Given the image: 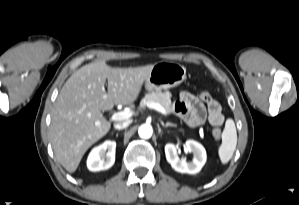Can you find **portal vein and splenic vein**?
<instances>
[{
  "label": "portal vein and splenic vein",
  "mask_w": 299,
  "mask_h": 205,
  "mask_svg": "<svg viewBox=\"0 0 299 205\" xmlns=\"http://www.w3.org/2000/svg\"><path fill=\"white\" fill-rule=\"evenodd\" d=\"M149 108L155 109L158 112L162 113L163 115H167V111L164 109V107L158 103H150L147 105ZM133 115L132 112H127V111H120L116 112L111 116L112 121H122L125 119L130 118Z\"/></svg>",
  "instance_id": "portal-vein-and-splenic-vein-1"
}]
</instances>
